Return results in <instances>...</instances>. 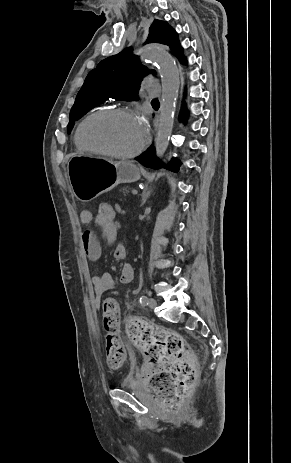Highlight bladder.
<instances>
[{"instance_id": "31cf9c89", "label": "bladder", "mask_w": 291, "mask_h": 463, "mask_svg": "<svg viewBox=\"0 0 291 463\" xmlns=\"http://www.w3.org/2000/svg\"><path fill=\"white\" fill-rule=\"evenodd\" d=\"M119 386L121 388H132L139 386V382L134 374H128L119 382Z\"/></svg>"}]
</instances>
